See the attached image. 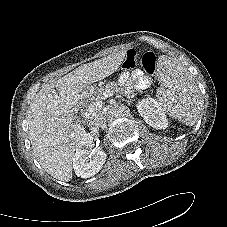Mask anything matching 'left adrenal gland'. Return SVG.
<instances>
[{"label": "left adrenal gland", "instance_id": "left-adrenal-gland-1", "mask_svg": "<svg viewBox=\"0 0 227 227\" xmlns=\"http://www.w3.org/2000/svg\"><path fill=\"white\" fill-rule=\"evenodd\" d=\"M133 97H134V94L131 96H127L128 99L133 98ZM127 102L129 103L130 101L128 100Z\"/></svg>", "mask_w": 227, "mask_h": 227}]
</instances>
